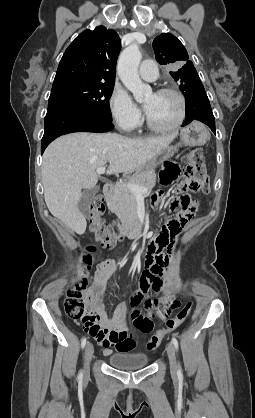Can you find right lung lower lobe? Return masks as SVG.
Wrapping results in <instances>:
<instances>
[{
	"label": "right lung lower lobe",
	"mask_w": 255,
	"mask_h": 418,
	"mask_svg": "<svg viewBox=\"0 0 255 418\" xmlns=\"http://www.w3.org/2000/svg\"><path fill=\"white\" fill-rule=\"evenodd\" d=\"M112 122L104 121L86 111L71 107L48 108L44 122L41 153L57 137L73 132H108Z\"/></svg>",
	"instance_id": "1"
}]
</instances>
